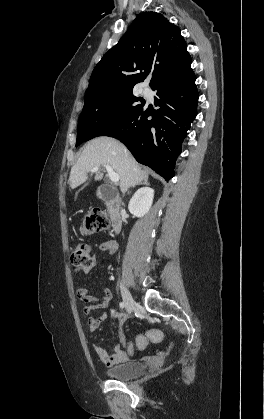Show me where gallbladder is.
Returning <instances> with one entry per match:
<instances>
[{"label":"gallbladder","instance_id":"obj_1","mask_svg":"<svg viewBox=\"0 0 264 419\" xmlns=\"http://www.w3.org/2000/svg\"><path fill=\"white\" fill-rule=\"evenodd\" d=\"M105 190H106V187H105V186L100 187V188L98 189V191H97V195H98L99 197H101V196H102V194H104V193H105Z\"/></svg>","mask_w":264,"mask_h":419}]
</instances>
